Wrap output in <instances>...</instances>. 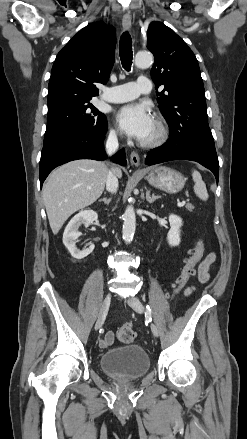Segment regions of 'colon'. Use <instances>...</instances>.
<instances>
[{"instance_id":"5ec220e1","label":"colon","mask_w":247,"mask_h":439,"mask_svg":"<svg viewBox=\"0 0 247 439\" xmlns=\"http://www.w3.org/2000/svg\"><path fill=\"white\" fill-rule=\"evenodd\" d=\"M204 253V244L201 239H197L194 247L189 250V257L175 282L172 284V293L169 296L181 290L188 280L196 273ZM136 337V332L130 323L124 324L117 332V338L122 343H131Z\"/></svg>"}]
</instances>
